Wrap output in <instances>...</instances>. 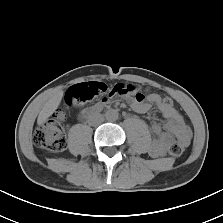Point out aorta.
I'll return each mask as SVG.
<instances>
[{"mask_svg":"<svg viewBox=\"0 0 223 223\" xmlns=\"http://www.w3.org/2000/svg\"><path fill=\"white\" fill-rule=\"evenodd\" d=\"M105 118L110 122L116 121L118 119V112L114 109H110L106 111Z\"/></svg>","mask_w":223,"mask_h":223,"instance_id":"obj_1","label":"aorta"}]
</instances>
